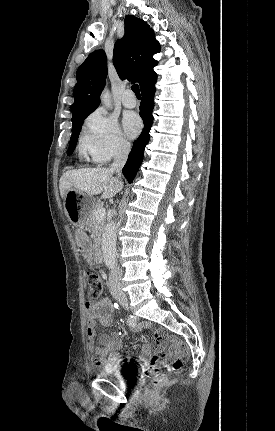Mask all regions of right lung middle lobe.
<instances>
[{
  "mask_svg": "<svg viewBox=\"0 0 275 431\" xmlns=\"http://www.w3.org/2000/svg\"><path fill=\"white\" fill-rule=\"evenodd\" d=\"M82 123H83V121H81L78 124L72 126V135H71V138H70V143H69V148H68V155L72 154L73 151H74V149H75V147H76L77 139H78L81 127H82Z\"/></svg>",
  "mask_w": 275,
  "mask_h": 431,
  "instance_id": "dd1d6c3e",
  "label": "right lung middle lobe"
}]
</instances>
